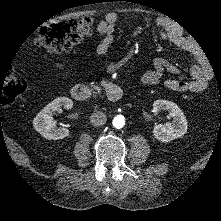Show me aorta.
Masks as SVG:
<instances>
[{
  "instance_id": "1",
  "label": "aorta",
  "mask_w": 221,
  "mask_h": 221,
  "mask_svg": "<svg viewBox=\"0 0 221 221\" xmlns=\"http://www.w3.org/2000/svg\"><path fill=\"white\" fill-rule=\"evenodd\" d=\"M112 124L114 126V128L116 129H121L124 127L125 125V118L122 115H117L114 117Z\"/></svg>"
}]
</instances>
